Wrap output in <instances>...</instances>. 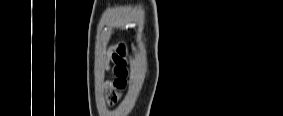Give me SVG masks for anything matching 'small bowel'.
Listing matches in <instances>:
<instances>
[{"mask_svg":"<svg viewBox=\"0 0 283 116\" xmlns=\"http://www.w3.org/2000/svg\"><path fill=\"white\" fill-rule=\"evenodd\" d=\"M112 58L115 63L114 72L116 76L127 75V70H126L127 57L125 50L122 46H118L117 54H113Z\"/></svg>","mask_w":283,"mask_h":116,"instance_id":"c3829d8e","label":"small bowel"}]
</instances>
